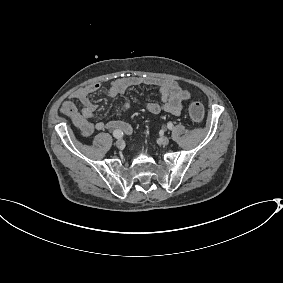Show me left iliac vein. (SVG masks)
<instances>
[{
  "mask_svg": "<svg viewBox=\"0 0 283 283\" xmlns=\"http://www.w3.org/2000/svg\"><path fill=\"white\" fill-rule=\"evenodd\" d=\"M158 142L161 144V145H168L169 144V138L166 137V136H162L158 139Z\"/></svg>",
  "mask_w": 283,
  "mask_h": 283,
  "instance_id": "obj_1",
  "label": "left iliac vein"
}]
</instances>
